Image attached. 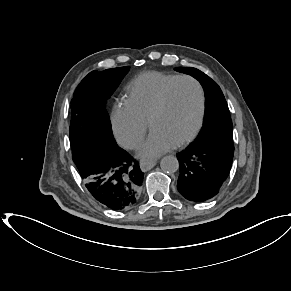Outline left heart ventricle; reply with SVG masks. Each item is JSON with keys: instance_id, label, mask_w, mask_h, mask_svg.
<instances>
[{"instance_id": "obj_1", "label": "left heart ventricle", "mask_w": 291, "mask_h": 291, "mask_svg": "<svg viewBox=\"0 0 291 291\" xmlns=\"http://www.w3.org/2000/svg\"><path fill=\"white\" fill-rule=\"evenodd\" d=\"M199 109L200 98L195 84L188 80L180 81L170 91L167 105L154 120L152 130L178 143L196 126Z\"/></svg>"}]
</instances>
